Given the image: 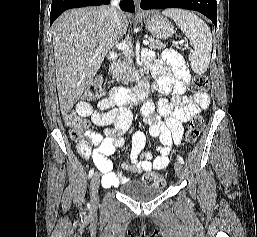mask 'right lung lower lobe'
<instances>
[{
    "mask_svg": "<svg viewBox=\"0 0 257 237\" xmlns=\"http://www.w3.org/2000/svg\"><path fill=\"white\" fill-rule=\"evenodd\" d=\"M109 0H52L50 25L64 11L71 8L108 4ZM120 7L123 11L134 12L133 0H122Z\"/></svg>",
    "mask_w": 257,
    "mask_h": 237,
    "instance_id": "obj_1",
    "label": "right lung lower lobe"
}]
</instances>
